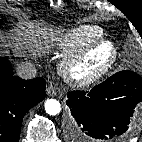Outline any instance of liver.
<instances>
[{
    "label": "liver",
    "mask_w": 142,
    "mask_h": 142,
    "mask_svg": "<svg viewBox=\"0 0 142 142\" xmlns=\"http://www.w3.org/2000/svg\"><path fill=\"white\" fill-rule=\"evenodd\" d=\"M21 40L22 44H26L27 48L33 49L38 48L42 49L44 45L47 44V39L51 37L46 28L37 27L33 24L28 25V29L22 34Z\"/></svg>",
    "instance_id": "obj_1"
}]
</instances>
